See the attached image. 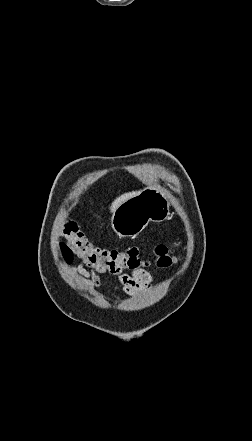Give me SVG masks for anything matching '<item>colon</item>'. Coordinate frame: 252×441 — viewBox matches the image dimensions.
Returning a JSON list of instances; mask_svg holds the SVG:
<instances>
[{
    "instance_id": "5ec220e1",
    "label": "colon",
    "mask_w": 252,
    "mask_h": 441,
    "mask_svg": "<svg viewBox=\"0 0 252 441\" xmlns=\"http://www.w3.org/2000/svg\"><path fill=\"white\" fill-rule=\"evenodd\" d=\"M64 236L68 243L60 244V249L66 261H70L75 254L97 272L121 274L126 269H136L147 264L142 258L141 248L132 246L125 250H116L94 246L73 222L65 225ZM174 249L175 247L168 245L156 246L154 263L160 268L174 264L177 261Z\"/></svg>"
}]
</instances>
